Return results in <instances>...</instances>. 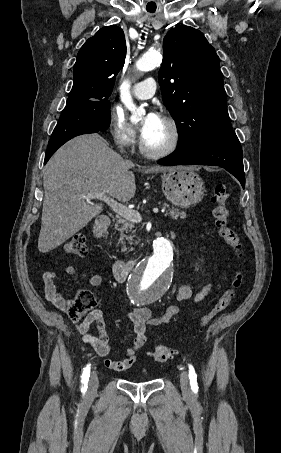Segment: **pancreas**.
I'll list each match as a JSON object with an SVG mask.
<instances>
[{
    "label": "pancreas",
    "mask_w": 281,
    "mask_h": 453,
    "mask_svg": "<svg viewBox=\"0 0 281 453\" xmlns=\"http://www.w3.org/2000/svg\"><path fill=\"white\" fill-rule=\"evenodd\" d=\"M164 206H167V204H164ZM168 210H166L165 216H172V218H178L179 214H182L181 218L185 216V212H179V208H168ZM115 229L116 231H120V243H122V245H124V237H127L125 233H129L130 231V235L127 239H129L131 245H133L132 241H134L136 231H134L135 227L132 220H126V218H116ZM135 245H137V241Z\"/></svg>",
    "instance_id": "pancreas-1"
}]
</instances>
